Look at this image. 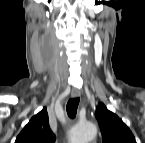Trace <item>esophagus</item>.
<instances>
[{"instance_id": "1", "label": "esophagus", "mask_w": 145, "mask_h": 143, "mask_svg": "<svg viewBox=\"0 0 145 143\" xmlns=\"http://www.w3.org/2000/svg\"><path fill=\"white\" fill-rule=\"evenodd\" d=\"M80 90L79 89H77V88H73L72 89V91H71V96L73 97V98H78L79 96H80Z\"/></svg>"}]
</instances>
